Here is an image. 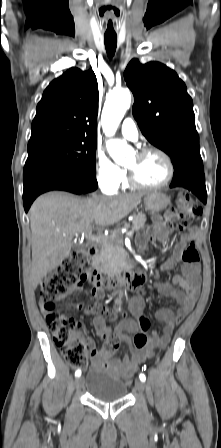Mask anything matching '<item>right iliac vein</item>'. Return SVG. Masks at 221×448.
I'll list each match as a JSON object with an SVG mask.
<instances>
[{"instance_id":"63e3f726","label":"right iliac vein","mask_w":221,"mask_h":448,"mask_svg":"<svg viewBox=\"0 0 221 448\" xmlns=\"http://www.w3.org/2000/svg\"><path fill=\"white\" fill-rule=\"evenodd\" d=\"M75 386L76 389H81V387L83 386V377H79L76 379Z\"/></svg>"}]
</instances>
